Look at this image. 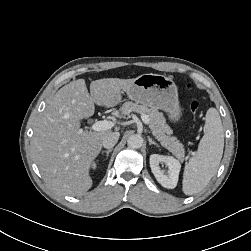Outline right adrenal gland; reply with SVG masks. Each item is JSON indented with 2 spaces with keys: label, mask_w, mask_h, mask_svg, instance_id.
Returning a JSON list of instances; mask_svg holds the SVG:
<instances>
[{
  "label": "right adrenal gland",
  "mask_w": 251,
  "mask_h": 251,
  "mask_svg": "<svg viewBox=\"0 0 251 251\" xmlns=\"http://www.w3.org/2000/svg\"><path fill=\"white\" fill-rule=\"evenodd\" d=\"M110 152H112V148L108 149V150H102V154L106 153L107 158H108Z\"/></svg>",
  "instance_id": "obj_1"
}]
</instances>
